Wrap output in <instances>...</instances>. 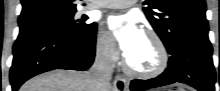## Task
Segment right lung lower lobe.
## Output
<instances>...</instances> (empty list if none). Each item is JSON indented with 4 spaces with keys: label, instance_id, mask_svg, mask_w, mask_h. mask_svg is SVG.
I'll list each match as a JSON object with an SVG mask.
<instances>
[{
    "label": "right lung lower lobe",
    "instance_id": "98d812e1",
    "mask_svg": "<svg viewBox=\"0 0 220 91\" xmlns=\"http://www.w3.org/2000/svg\"><path fill=\"white\" fill-rule=\"evenodd\" d=\"M96 33L74 39L44 26H22L13 48L12 91L29 78L54 69H88L95 56Z\"/></svg>",
    "mask_w": 220,
    "mask_h": 91
}]
</instances>
